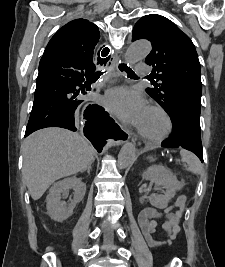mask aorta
I'll return each mask as SVG.
<instances>
[{
  "instance_id": "aorta-1",
  "label": "aorta",
  "mask_w": 225,
  "mask_h": 267,
  "mask_svg": "<svg viewBox=\"0 0 225 267\" xmlns=\"http://www.w3.org/2000/svg\"><path fill=\"white\" fill-rule=\"evenodd\" d=\"M151 51V44L148 41H136L132 43L125 54V62L128 65H134L136 62L144 59ZM136 157V149L132 143H126L122 146L118 154V166L126 169L132 165Z\"/></svg>"
}]
</instances>
